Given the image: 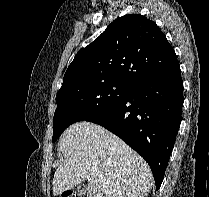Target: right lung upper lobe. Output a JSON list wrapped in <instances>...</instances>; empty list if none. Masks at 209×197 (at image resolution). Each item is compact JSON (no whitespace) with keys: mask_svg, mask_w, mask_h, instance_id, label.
<instances>
[{"mask_svg":"<svg viewBox=\"0 0 209 197\" xmlns=\"http://www.w3.org/2000/svg\"><path fill=\"white\" fill-rule=\"evenodd\" d=\"M176 59L173 47L155 22L140 14L124 15L76 54L62 87L106 80L135 86Z\"/></svg>","mask_w":209,"mask_h":197,"instance_id":"obj_1","label":"right lung upper lobe"}]
</instances>
